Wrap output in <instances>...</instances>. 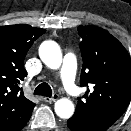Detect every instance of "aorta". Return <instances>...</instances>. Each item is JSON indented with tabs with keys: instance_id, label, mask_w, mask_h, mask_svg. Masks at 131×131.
Instances as JSON below:
<instances>
[{
	"instance_id": "1",
	"label": "aorta",
	"mask_w": 131,
	"mask_h": 131,
	"mask_svg": "<svg viewBox=\"0 0 131 131\" xmlns=\"http://www.w3.org/2000/svg\"><path fill=\"white\" fill-rule=\"evenodd\" d=\"M39 56L46 66L58 69L62 63V53L54 41H45L39 49ZM55 112L60 118L68 119L74 113V104L67 98H61L55 103Z\"/></svg>"
}]
</instances>
